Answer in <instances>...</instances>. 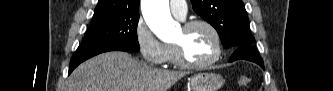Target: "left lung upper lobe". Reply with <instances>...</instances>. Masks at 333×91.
Masks as SVG:
<instances>
[{"mask_svg":"<svg viewBox=\"0 0 333 91\" xmlns=\"http://www.w3.org/2000/svg\"><path fill=\"white\" fill-rule=\"evenodd\" d=\"M194 11L218 32L224 47L252 45L249 20L242 0H191Z\"/></svg>","mask_w":333,"mask_h":91,"instance_id":"5c2ea615","label":"left lung upper lobe"}]
</instances>
